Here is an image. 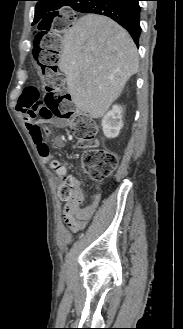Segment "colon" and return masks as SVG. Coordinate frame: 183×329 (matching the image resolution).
Here are the masks:
<instances>
[{"mask_svg":"<svg viewBox=\"0 0 183 329\" xmlns=\"http://www.w3.org/2000/svg\"><path fill=\"white\" fill-rule=\"evenodd\" d=\"M78 14H44L35 25L32 38H35L33 59L36 66H27V87L18 100L17 114H30L42 119L52 117L69 121L72 133L81 147L85 149L81 162L85 173L93 180L100 181L109 177L118 164V155L106 149L98 148L96 127L86 114L79 112L65 88V74L58 69L60 60V39L71 38L72 26H77ZM45 93L41 92L43 88ZM36 129L40 127L36 126ZM41 131V129H40ZM42 153H47L49 145L43 142ZM51 168L64 183L59 188V196L66 206H76L80 200V192L71 182L64 169L56 162Z\"/></svg>","mask_w":183,"mask_h":329,"instance_id":"colon-1","label":"colon"}]
</instances>
